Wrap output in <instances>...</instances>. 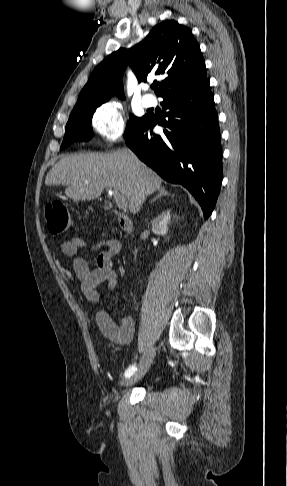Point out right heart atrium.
Masks as SVG:
<instances>
[{
	"label": "right heart atrium",
	"instance_id": "right-heart-atrium-1",
	"mask_svg": "<svg viewBox=\"0 0 287 486\" xmlns=\"http://www.w3.org/2000/svg\"><path fill=\"white\" fill-rule=\"evenodd\" d=\"M91 127L107 143L117 141L126 127L124 111L116 103H105L96 108L91 117Z\"/></svg>",
	"mask_w": 287,
	"mask_h": 486
}]
</instances>
